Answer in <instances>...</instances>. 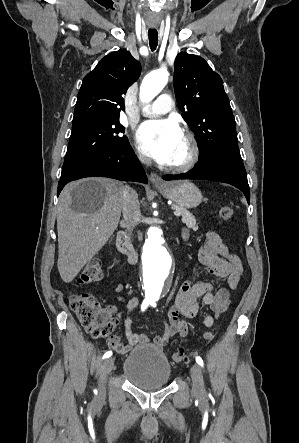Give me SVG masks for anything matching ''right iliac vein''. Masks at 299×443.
Returning <instances> with one entry per match:
<instances>
[{"instance_id":"1","label":"right iliac vein","mask_w":299,"mask_h":443,"mask_svg":"<svg viewBox=\"0 0 299 443\" xmlns=\"http://www.w3.org/2000/svg\"><path fill=\"white\" fill-rule=\"evenodd\" d=\"M114 364V358H108L104 361L101 372H100V381H99V399H103L105 397V380L108 373L111 371Z\"/></svg>"}]
</instances>
